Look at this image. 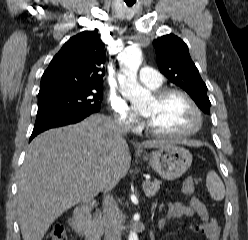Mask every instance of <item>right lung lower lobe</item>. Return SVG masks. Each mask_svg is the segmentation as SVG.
Listing matches in <instances>:
<instances>
[{
  "label": "right lung lower lobe",
  "instance_id": "1",
  "mask_svg": "<svg viewBox=\"0 0 248 240\" xmlns=\"http://www.w3.org/2000/svg\"><path fill=\"white\" fill-rule=\"evenodd\" d=\"M92 113L69 112L65 110L38 111L30 141L39 133L54 127L77 123Z\"/></svg>",
  "mask_w": 248,
  "mask_h": 240
}]
</instances>
